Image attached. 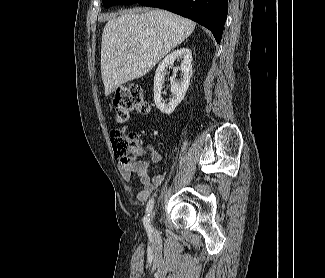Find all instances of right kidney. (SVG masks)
<instances>
[{
    "label": "right kidney",
    "instance_id": "1",
    "mask_svg": "<svg viewBox=\"0 0 325 278\" xmlns=\"http://www.w3.org/2000/svg\"><path fill=\"white\" fill-rule=\"evenodd\" d=\"M176 59H182L180 67L174 68V75L171 77L172 99L168 103L162 99L161 91L165 80V73L171 68ZM181 71L182 80L175 81L176 73ZM192 76V53L188 48H180L167 55L158 65L154 76V102L156 107L164 114L174 112L178 104L183 100L189 87Z\"/></svg>",
    "mask_w": 325,
    "mask_h": 278
}]
</instances>
